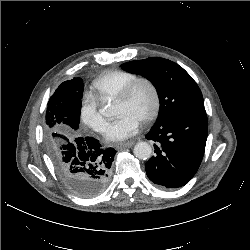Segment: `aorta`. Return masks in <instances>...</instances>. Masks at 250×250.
I'll return each mask as SVG.
<instances>
[{"instance_id": "762f6f07", "label": "aorta", "mask_w": 250, "mask_h": 250, "mask_svg": "<svg viewBox=\"0 0 250 250\" xmlns=\"http://www.w3.org/2000/svg\"><path fill=\"white\" fill-rule=\"evenodd\" d=\"M134 155L141 160H147L152 155V147L147 142H138L133 149Z\"/></svg>"}]
</instances>
